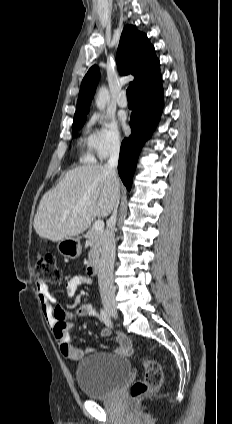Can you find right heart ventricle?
<instances>
[{
    "label": "right heart ventricle",
    "instance_id": "1",
    "mask_svg": "<svg viewBox=\"0 0 232 424\" xmlns=\"http://www.w3.org/2000/svg\"><path fill=\"white\" fill-rule=\"evenodd\" d=\"M92 134L85 130L79 137L78 145L80 148L79 159L81 163L93 164L96 162L93 151L91 149Z\"/></svg>",
    "mask_w": 232,
    "mask_h": 424
}]
</instances>
